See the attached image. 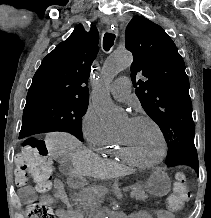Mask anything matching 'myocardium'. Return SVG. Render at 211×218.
I'll return each instance as SVG.
<instances>
[{"mask_svg":"<svg viewBox=\"0 0 211 218\" xmlns=\"http://www.w3.org/2000/svg\"><path fill=\"white\" fill-rule=\"evenodd\" d=\"M130 120L133 121H140V120H145L148 121L149 123H151L154 128L156 129L159 138H160V143H161V152L160 155L158 157V159H156L155 161L152 162H146L143 160L138 159L128 148V146L126 145V143L124 142V140L122 138H120L118 135H115V139L116 142L120 148V150L122 151V153L134 164L141 166V167H153L158 165L159 163L162 162L164 156H165V134L161 128V126L157 123L156 120H154L152 117L148 116V115H134L130 117Z\"/></svg>","mask_w":211,"mask_h":218,"instance_id":"f54148a6","label":"myocardium"}]
</instances>
